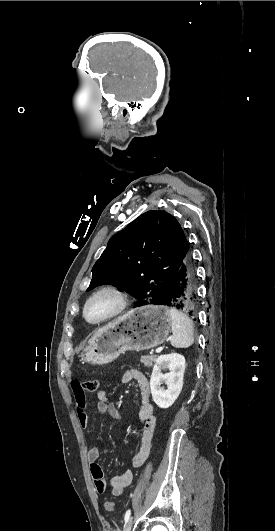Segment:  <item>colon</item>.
Returning a JSON list of instances; mask_svg holds the SVG:
<instances>
[{"label":"colon","mask_w":275,"mask_h":531,"mask_svg":"<svg viewBox=\"0 0 275 531\" xmlns=\"http://www.w3.org/2000/svg\"><path fill=\"white\" fill-rule=\"evenodd\" d=\"M99 380L97 378L89 379L85 381V392L95 393L98 391ZM107 511H113L116 507L113 501H107L105 503Z\"/></svg>","instance_id":"colon-1"}]
</instances>
